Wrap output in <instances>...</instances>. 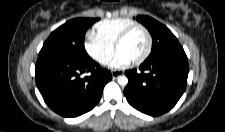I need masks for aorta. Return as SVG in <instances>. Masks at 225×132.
<instances>
[{
    "instance_id": "1",
    "label": "aorta",
    "mask_w": 225,
    "mask_h": 132,
    "mask_svg": "<svg viewBox=\"0 0 225 132\" xmlns=\"http://www.w3.org/2000/svg\"><path fill=\"white\" fill-rule=\"evenodd\" d=\"M117 81H118L119 85H121V86H126L128 84V78L124 75L118 76Z\"/></svg>"
}]
</instances>
